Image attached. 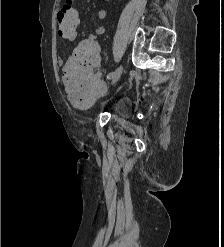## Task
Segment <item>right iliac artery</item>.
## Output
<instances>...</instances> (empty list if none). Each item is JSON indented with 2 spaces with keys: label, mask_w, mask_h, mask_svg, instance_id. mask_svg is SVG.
<instances>
[{
  "label": "right iliac artery",
  "mask_w": 224,
  "mask_h": 247,
  "mask_svg": "<svg viewBox=\"0 0 224 247\" xmlns=\"http://www.w3.org/2000/svg\"><path fill=\"white\" fill-rule=\"evenodd\" d=\"M114 72H111L107 75V79H111V77L113 76Z\"/></svg>",
  "instance_id": "right-iliac-artery-1"
}]
</instances>
